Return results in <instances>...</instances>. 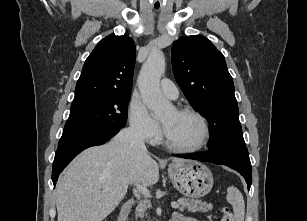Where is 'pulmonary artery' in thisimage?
Returning <instances> with one entry per match:
<instances>
[{"instance_id":"obj_1","label":"pulmonary artery","mask_w":307,"mask_h":221,"mask_svg":"<svg viewBox=\"0 0 307 221\" xmlns=\"http://www.w3.org/2000/svg\"><path fill=\"white\" fill-rule=\"evenodd\" d=\"M160 90L166 97L170 99H176L179 94L177 86L167 78L161 80Z\"/></svg>"}]
</instances>
